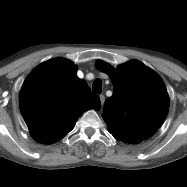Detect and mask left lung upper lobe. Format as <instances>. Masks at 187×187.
Returning <instances> with one entry per match:
<instances>
[{
    "label": "left lung upper lobe",
    "mask_w": 187,
    "mask_h": 187,
    "mask_svg": "<svg viewBox=\"0 0 187 187\" xmlns=\"http://www.w3.org/2000/svg\"><path fill=\"white\" fill-rule=\"evenodd\" d=\"M96 67L113 83V95L105 101L102 115L108 131L115 139L133 144L153 135L169 109L168 93L159 75L136 60L117 69L98 60Z\"/></svg>",
    "instance_id": "obj_1"
}]
</instances>
